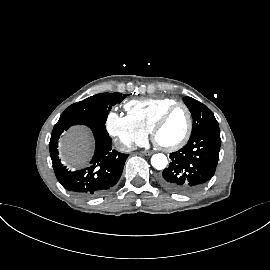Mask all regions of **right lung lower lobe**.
<instances>
[{"mask_svg": "<svg viewBox=\"0 0 270 270\" xmlns=\"http://www.w3.org/2000/svg\"><path fill=\"white\" fill-rule=\"evenodd\" d=\"M89 127L95 138V153L90 161L91 166L71 172L64 167L58 158V139L61 134L73 125ZM105 124L93 119H69L58 121L53 128L49 143L53 169L58 181L68 191L82 197H96L115 185L123 171L127 154L112 149Z\"/></svg>", "mask_w": 270, "mask_h": 270, "instance_id": "1", "label": "right lung lower lobe"}]
</instances>
